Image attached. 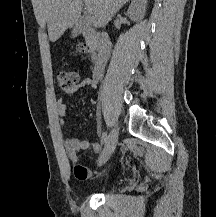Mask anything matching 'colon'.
<instances>
[{
  "label": "colon",
  "instance_id": "5ec220e1",
  "mask_svg": "<svg viewBox=\"0 0 216 217\" xmlns=\"http://www.w3.org/2000/svg\"><path fill=\"white\" fill-rule=\"evenodd\" d=\"M85 46H80V50H85ZM56 80L63 90H72L77 86L79 74L73 70H59L56 73Z\"/></svg>",
  "mask_w": 216,
  "mask_h": 217
}]
</instances>
